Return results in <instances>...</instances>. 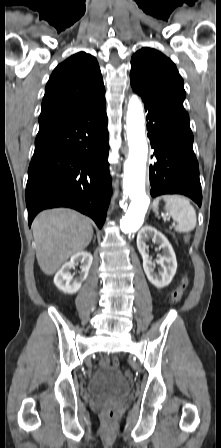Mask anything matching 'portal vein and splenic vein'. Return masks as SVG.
Segmentation results:
<instances>
[{
	"instance_id": "portal-vein-and-splenic-vein-1",
	"label": "portal vein and splenic vein",
	"mask_w": 221,
	"mask_h": 448,
	"mask_svg": "<svg viewBox=\"0 0 221 448\" xmlns=\"http://www.w3.org/2000/svg\"><path fill=\"white\" fill-rule=\"evenodd\" d=\"M165 220L169 221V220H170V218H169V217H168V218H165Z\"/></svg>"
}]
</instances>
